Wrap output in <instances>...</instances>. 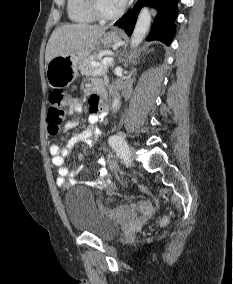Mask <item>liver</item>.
Instances as JSON below:
<instances>
[{
	"label": "liver",
	"instance_id": "6515ba94",
	"mask_svg": "<svg viewBox=\"0 0 233 284\" xmlns=\"http://www.w3.org/2000/svg\"><path fill=\"white\" fill-rule=\"evenodd\" d=\"M107 27L87 24H66L57 27L46 46L45 62L83 48L93 47Z\"/></svg>",
	"mask_w": 233,
	"mask_h": 284
}]
</instances>
